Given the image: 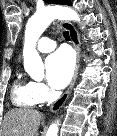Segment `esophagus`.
I'll return each mask as SVG.
<instances>
[{
    "label": "esophagus",
    "instance_id": "34e87169",
    "mask_svg": "<svg viewBox=\"0 0 117 136\" xmlns=\"http://www.w3.org/2000/svg\"><path fill=\"white\" fill-rule=\"evenodd\" d=\"M61 24L69 32L73 46H74L76 53H77V58H76L75 71H74L72 80L69 84V87L65 91V93L50 107L51 112H55V111L59 110L63 106V104L66 102V100L68 99L69 94L75 84V81H76V78L78 75L80 57H81L80 39H79L78 31L76 30L74 25L68 21H63Z\"/></svg>",
    "mask_w": 117,
    "mask_h": 136
}]
</instances>
